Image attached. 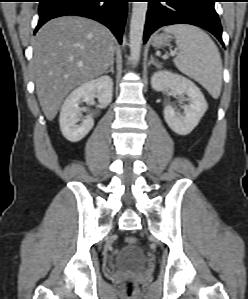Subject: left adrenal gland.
I'll return each mask as SVG.
<instances>
[{"label": "left adrenal gland", "mask_w": 248, "mask_h": 299, "mask_svg": "<svg viewBox=\"0 0 248 299\" xmlns=\"http://www.w3.org/2000/svg\"><path fill=\"white\" fill-rule=\"evenodd\" d=\"M150 64L155 65L157 68L160 67L159 64L154 60V58H153L152 55L150 56V60H149V62H148V65H150Z\"/></svg>", "instance_id": "1"}]
</instances>
